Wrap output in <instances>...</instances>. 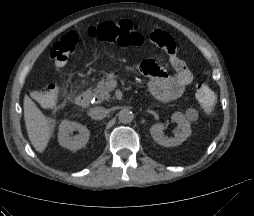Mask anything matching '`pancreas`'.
<instances>
[{
  "label": "pancreas",
  "instance_id": "cf45deb5",
  "mask_svg": "<svg viewBox=\"0 0 254 216\" xmlns=\"http://www.w3.org/2000/svg\"><path fill=\"white\" fill-rule=\"evenodd\" d=\"M118 76L110 74L106 79H101L98 82L97 87L93 89V96L97 99L98 103L110 98V91L112 90L111 82Z\"/></svg>",
  "mask_w": 254,
  "mask_h": 216
}]
</instances>
